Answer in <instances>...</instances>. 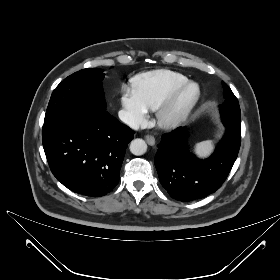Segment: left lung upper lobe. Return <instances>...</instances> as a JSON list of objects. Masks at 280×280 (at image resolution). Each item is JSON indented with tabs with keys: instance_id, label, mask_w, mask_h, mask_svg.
<instances>
[{
	"instance_id": "left-lung-upper-lobe-1",
	"label": "left lung upper lobe",
	"mask_w": 280,
	"mask_h": 280,
	"mask_svg": "<svg viewBox=\"0 0 280 280\" xmlns=\"http://www.w3.org/2000/svg\"><path fill=\"white\" fill-rule=\"evenodd\" d=\"M225 101L220 106L221 117L224 125L237 135H241V115L238 99L232 90L223 83Z\"/></svg>"
}]
</instances>
